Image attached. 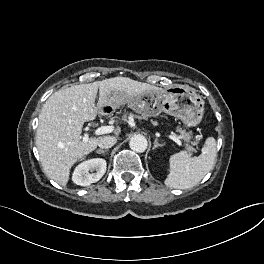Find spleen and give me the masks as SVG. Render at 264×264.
Instances as JSON below:
<instances>
[{"label":"spleen","mask_w":264,"mask_h":264,"mask_svg":"<svg viewBox=\"0 0 264 264\" xmlns=\"http://www.w3.org/2000/svg\"><path fill=\"white\" fill-rule=\"evenodd\" d=\"M216 140L208 137L198 157L179 152L170 157V172L165 185L170 188L188 189L197 185L215 165Z\"/></svg>","instance_id":"obj_1"}]
</instances>
